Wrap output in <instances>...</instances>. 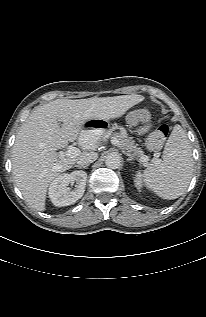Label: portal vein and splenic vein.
<instances>
[{"instance_id": "18ae733b", "label": "portal vein and splenic vein", "mask_w": 206, "mask_h": 317, "mask_svg": "<svg viewBox=\"0 0 206 317\" xmlns=\"http://www.w3.org/2000/svg\"><path fill=\"white\" fill-rule=\"evenodd\" d=\"M83 143H89V139L86 138V139H82ZM111 142L115 145V146H119L120 143L118 141V139H116L115 137H113V139L111 140ZM58 154L61 156V157H76L80 154V150L72 145H70L67 149V151H60L58 152ZM140 160L142 162H146L148 160V157L146 155H143Z\"/></svg>"}]
</instances>
